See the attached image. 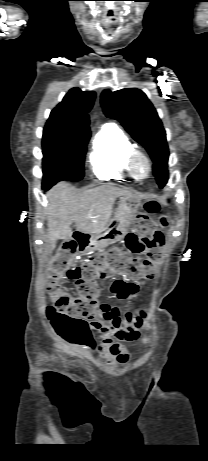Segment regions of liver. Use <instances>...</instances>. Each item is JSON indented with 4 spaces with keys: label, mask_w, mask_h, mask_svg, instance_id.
Here are the masks:
<instances>
[{
    "label": "liver",
    "mask_w": 208,
    "mask_h": 461,
    "mask_svg": "<svg viewBox=\"0 0 208 461\" xmlns=\"http://www.w3.org/2000/svg\"><path fill=\"white\" fill-rule=\"evenodd\" d=\"M133 196L128 190L103 185L79 192L66 182L58 183L48 197V241L52 249L59 239L72 237L71 224L75 222L78 232L97 234L110 221L113 204L118 197Z\"/></svg>",
    "instance_id": "liver-1"
}]
</instances>
